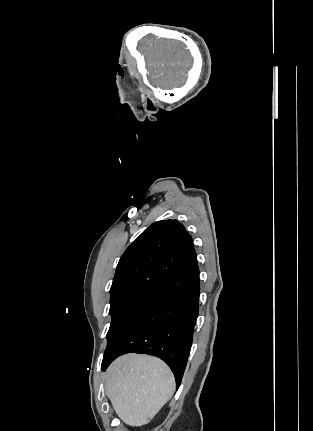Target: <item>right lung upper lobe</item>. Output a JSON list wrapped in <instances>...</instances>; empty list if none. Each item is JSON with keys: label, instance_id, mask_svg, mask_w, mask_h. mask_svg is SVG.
Listing matches in <instances>:
<instances>
[{"label": "right lung upper lobe", "instance_id": "right-lung-upper-lobe-1", "mask_svg": "<svg viewBox=\"0 0 313 431\" xmlns=\"http://www.w3.org/2000/svg\"><path fill=\"white\" fill-rule=\"evenodd\" d=\"M195 253L191 236L176 220L148 227L124 252L116 268L111 297L150 294Z\"/></svg>", "mask_w": 313, "mask_h": 431}]
</instances>
